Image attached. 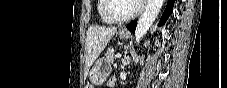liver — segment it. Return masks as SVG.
<instances>
[{"label": "liver", "instance_id": "liver-1", "mask_svg": "<svg viewBox=\"0 0 227 88\" xmlns=\"http://www.w3.org/2000/svg\"><path fill=\"white\" fill-rule=\"evenodd\" d=\"M116 31L117 28L115 27H102L97 25L88 28L85 40V68L87 71H89V68L99 57Z\"/></svg>", "mask_w": 227, "mask_h": 88}]
</instances>
